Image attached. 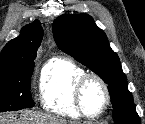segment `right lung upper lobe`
<instances>
[{
	"instance_id": "1",
	"label": "right lung upper lobe",
	"mask_w": 145,
	"mask_h": 124,
	"mask_svg": "<svg viewBox=\"0 0 145 124\" xmlns=\"http://www.w3.org/2000/svg\"><path fill=\"white\" fill-rule=\"evenodd\" d=\"M42 37L43 29L38 20L23 27L21 34L3 48L0 54V71L17 69L34 63Z\"/></svg>"
}]
</instances>
